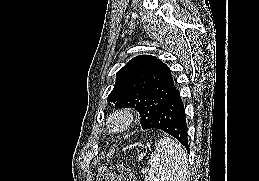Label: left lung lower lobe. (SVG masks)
<instances>
[{
	"instance_id": "1",
	"label": "left lung lower lobe",
	"mask_w": 259,
	"mask_h": 181,
	"mask_svg": "<svg viewBox=\"0 0 259 181\" xmlns=\"http://www.w3.org/2000/svg\"><path fill=\"white\" fill-rule=\"evenodd\" d=\"M154 128L175 137L189 152L184 106L176 88L165 99L154 119L144 129Z\"/></svg>"
}]
</instances>
